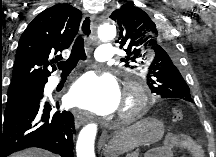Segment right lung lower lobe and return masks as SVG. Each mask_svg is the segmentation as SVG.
Listing matches in <instances>:
<instances>
[{
  "instance_id": "right-lung-lower-lobe-1",
  "label": "right lung lower lobe",
  "mask_w": 216,
  "mask_h": 157,
  "mask_svg": "<svg viewBox=\"0 0 216 157\" xmlns=\"http://www.w3.org/2000/svg\"><path fill=\"white\" fill-rule=\"evenodd\" d=\"M31 95L0 112V157L27 147H39L73 157L74 117L71 112L52 113L59 103Z\"/></svg>"
}]
</instances>
